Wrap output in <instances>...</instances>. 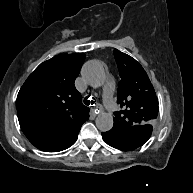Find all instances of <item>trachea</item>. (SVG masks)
Listing matches in <instances>:
<instances>
[{
	"label": "trachea",
	"mask_w": 193,
	"mask_h": 193,
	"mask_svg": "<svg viewBox=\"0 0 193 193\" xmlns=\"http://www.w3.org/2000/svg\"><path fill=\"white\" fill-rule=\"evenodd\" d=\"M89 95L88 96H86L85 98H84V103L87 105V106H89V105H93L94 103H95V101H93V100H89ZM94 99V98H93Z\"/></svg>",
	"instance_id": "1"
}]
</instances>
